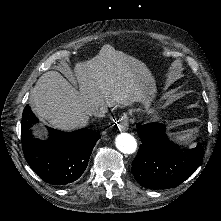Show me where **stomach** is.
<instances>
[{"label": "stomach", "mask_w": 221, "mask_h": 221, "mask_svg": "<svg viewBox=\"0 0 221 221\" xmlns=\"http://www.w3.org/2000/svg\"><path fill=\"white\" fill-rule=\"evenodd\" d=\"M136 110H137V112L140 111V109H134V110L131 111V113H136ZM160 119H161V116L159 114L154 113V114L150 115V120L152 122H157Z\"/></svg>", "instance_id": "1"}]
</instances>
